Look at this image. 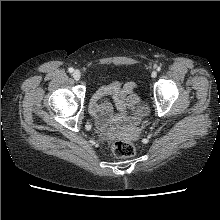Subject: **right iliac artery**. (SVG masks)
I'll use <instances>...</instances> for the list:
<instances>
[{
    "label": "right iliac artery",
    "instance_id": "obj_1",
    "mask_svg": "<svg viewBox=\"0 0 220 220\" xmlns=\"http://www.w3.org/2000/svg\"><path fill=\"white\" fill-rule=\"evenodd\" d=\"M68 71H69L70 73H72V72L74 71V69H73L72 67H70V68L68 69Z\"/></svg>",
    "mask_w": 220,
    "mask_h": 220
}]
</instances>
